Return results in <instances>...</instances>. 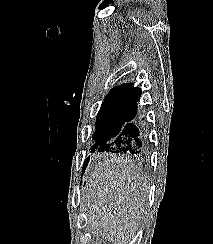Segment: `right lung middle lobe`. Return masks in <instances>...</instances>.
Masks as SVG:
<instances>
[{
	"label": "right lung middle lobe",
	"mask_w": 213,
	"mask_h": 244,
	"mask_svg": "<svg viewBox=\"0 0 213 244\" xmlns=\"http://www.w3.org/2000/svg\"><path fill=\"white\" fill-rule=\"evenodd\" d=\"M136 107L137 99L133 97L105 98L97 114L91 150L117 137L125 123L134 117Z\"/></svg>",
	"instance_id": "right-lung-middle-lobe-1"
}]
</instances>
